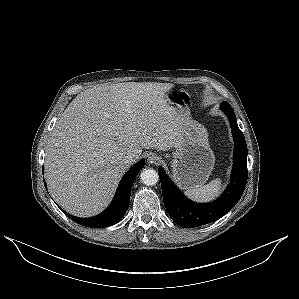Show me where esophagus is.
Segmentation results:
<instances>
[{"label": "esophagus", "mask_w": 299, "mask_h": 299, "mask_svg": "<svg viewBox=\"0 0 299 299\" xmlns=\"http://www.w3.org/2000/svg\"><path fill=\"white\" fill-rule=\"evenodd\" d=\"M148 162L151 164H158L161 161V158L156 154H151L147 158Z\"/></svg>", "instance_id": "obj_1"}]
</instances>
